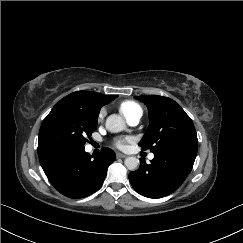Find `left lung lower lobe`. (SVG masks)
Masks as SVG:
<instances>
[{
	"instance_id": "obj_1",
	"label": "left lung lower lobe",
	"mask_w": 243,
	"mask_h": 243,
	"mask_svg": "<svg viewBox=\"0 0 243 243\" xmlns=\"http://www.w3.org/2000/svg\"><path fill=\"white\" fill-rule=\"evenodd\" d=\"M197 140L173 143L155 151L150 164L129 174L133 189L148 198H162L177 190L191 172L197 154Z\"/></svg>"
}]
</instances>
